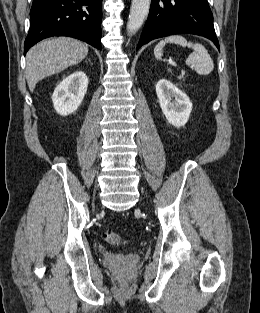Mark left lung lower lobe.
Instances as JSON below:
<instances>
[{
    "label": "left lung lower lobe",
    "instance_id": "obj_1",
    "mask_svg": "<svg viewBox=\"0 0 260 313\" xmlns=\"http://www.w3.org/2000/svg\"><path fill=\"white\" fill-rule=\"evenodd\" d=\"M178 33L204 36L219 49L207 0H152L137 49L153 39Z\"/></svg>",
    "mask_w": 260,
    "mask_h": 313
}]
</instances>
